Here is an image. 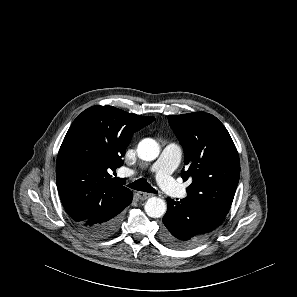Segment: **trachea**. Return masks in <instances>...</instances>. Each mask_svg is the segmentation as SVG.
<instances>
[{
	"label": "trachea",
	"instance_id": "obj_1",
	"mask_svg": "<svg viewBox=\"0 0 297 297\" xmlns=\"http://www.w3.org/2000/svg\"><path fill=\"white\" fill-rule=\"evenodd\" d=\"M127 186L138 191L155 193V194L157 193V191L154 188H152L151 185L144 178H140L134 181L133 183L128 184Z\"/></svg>",
	"mask_w": 297,
	"mask_h": 297
}]
</instances>
